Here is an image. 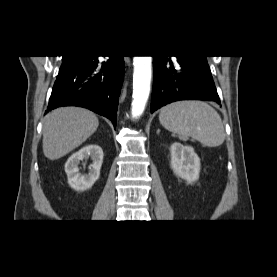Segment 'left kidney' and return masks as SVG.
Listing matches in <instances>:
<instances>
[{
	"mask_svg": "<svg viewBox=\"0 0 277 277\" xmlns=\"http://www.w3.org/2000/svg\"><path fill=\"white\" fill-rule=\"evenodd\" d=\"M171 167L176 175L188 183L195 182L199 178L200 159L190 146H184L174 142L170 148Z\"/></svg>",
	"mask_w": 277,
	"mask_h": 277,
	"instance_id": "5707ae66",
	"label": "left kidney"
}]
</instances>
